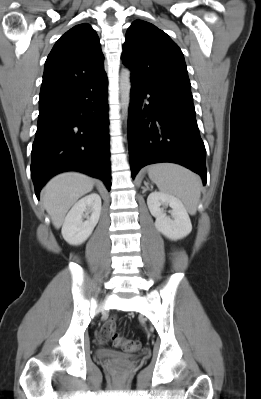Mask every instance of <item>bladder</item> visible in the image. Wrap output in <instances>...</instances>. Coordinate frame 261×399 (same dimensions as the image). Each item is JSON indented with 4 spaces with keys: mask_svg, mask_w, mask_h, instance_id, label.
Here are the masks:
<instances>
[{
    "mask_svg": "<svg viewBox=\"0 0 261 399\" xmlns=\"http://www.w3.org/2000/svg\"><path fill=\"white\" fill-rule=\"evenodd\" d=\"M96 356L100 359H129L130 355L121 354L110 349H98L96 350Z\"/></svg>",
    "mask_w": 261,
    "mask_h": 399,
    "instance_id": "31cf9c89",
    "label": "bladder"
}]
</instances>
